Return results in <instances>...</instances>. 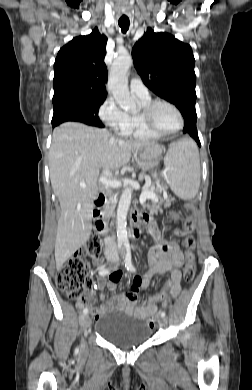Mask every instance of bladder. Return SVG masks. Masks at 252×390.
<instances>
[{
  "mask_svg": "<svg viewBox=\"0 0 252 390\" xmlns=\"http://www.w3.org/2000/svg\"><path fill=\"white\" fill-rule=\"evenodd\" d=\"M94 332L117 347L129 349L146 343L151 336V327L133 317L105 315L96 322Z\"/></svg>",
  "mask_w": 252,
  "mask_h": 390,
  "instance_id": "bladder-1",
  "label": "bladder"
}]
</instances>
